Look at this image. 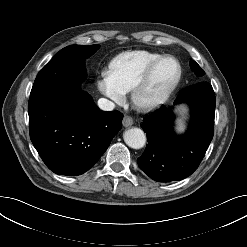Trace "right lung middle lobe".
Wrapping results in <instances>:
<instances>
[{"label":"right lung middle lobe","mask_w":247,"mask_h":247,"mask_svg":"<svg viewBox=\"0 0 247 247\" xmlns=\"http://www.w3.org/2000/svg\"><path fill=\"white\" fill-rule=\"evenodd\" d=\"M99 45H71L60 50L38 73L31 91L44 88L78 89L85 77L84 60Z\"/></svg>","instance_id":"obj_1"}]
</instances>
